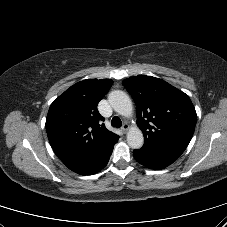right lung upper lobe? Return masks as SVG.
Masks as SVG:
<instances>
[{"instance_id":"obj_1","label":"right lung upper lobe","mask_w":227,"mask_h":227,"mask_svg":"<svg viewBox=\"0 0 227 227\" xmlns=\"http://www.w3.org/2000/svg\"><path fill=\"white\" fill-rule=\"evenodd\" d=\"M112 83L110 79L80 81L51 104L46 132L63 163L80 160L119 137L105 128L104 118L97 110Z\"/></svg>"}]
</instances>
